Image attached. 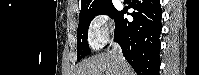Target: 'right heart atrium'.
Instances as JSON below:
<instances>
[{
  "label": "right heart atrium",
  "mask_w": 199,
  "mask_h": 75,
  "mask_svg": "<svg viewBox=\"0 0 199 75\" xmlns=\"http://www.w3.org/2000/svg\"><path fill=\"white\" fill-rule=\"evenodd\" d=\"M113 32L114 26L111 19L105 14H99L88 25V42L92 48L100 49L109 41Z\"/></svg>",
  "instance_id": "right-heart-atrium-1"
}]
</instances>
